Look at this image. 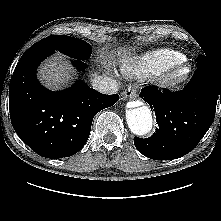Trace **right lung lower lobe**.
<instances>
[{"label":"right lung lower lobe","instance_id":"obj_1","mask_svg":"<svg viewBox=\"0 0 221 221\" xmlns=\"http://www.w3.org/2000/svg\"><path fill=\"white\" fill-rule=\"evenodd\" d=\"M55 50L35 43L21 57L9 85L13 128L38 155L57 159L77 153L88 140L93 117L115 104L119 96L106 95L78 81L63 91L52 92L36 78L40 62ZM77 69L83 60L73 59Z\"/></svg>","mask_w":221,"mask_h":221}]
</instances>
